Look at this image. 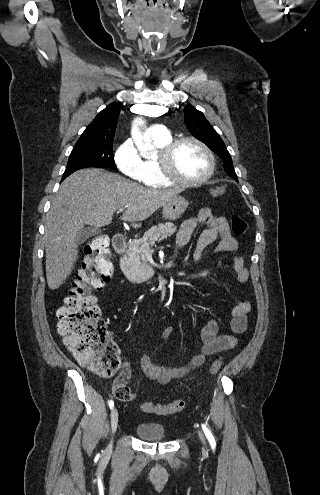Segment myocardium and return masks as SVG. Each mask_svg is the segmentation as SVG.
Returning a JSON list of instances; mask_svg holds the SVG:
<instances>
[{"label": "myocardium", "mask_w": 320, "mask_h": 495, "mask_svg": "<svg viewBox=\"0 0 320 495\" xmlns=\"http://www.w3.org/2000/svg\"><path fill=\"white\" fill-rule=\"evenodd\" d=\"M186 142H191L196 144L206 155L209 168L207 173L198 179H185L179 176L174 168V155L177 148ZM158 164L162 175L173 184L182 186H197L202 185L209 181L215 172L216 161L214 154L210 148L196 137L185 136L174 140H171L167 145H165L158 153Z\"/></svg>", "instance_id": "f54148a6"}]
</instances>
